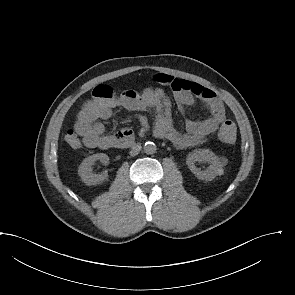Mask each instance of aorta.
<instances>
[{
    "instance_id": "1",
    "label": "aorta",
    "mask_w": 295,
    "mask_h": 295,
    "mask_svg": "<svg viewBox=\"0 0 295 295\" xmlns=\"http://www.w3.org/2000/svg\"><path fill=\"white\" fill-rule=\"evenodd\" d=\"M157 148L156 145L153 142H146L144 145V152L146 154H154L156 152Z\"/></svg>"
}]
</instances>
